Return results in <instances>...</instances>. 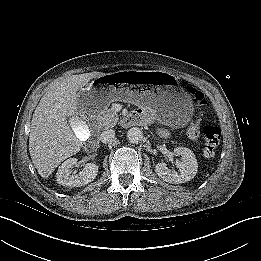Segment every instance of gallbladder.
<instances>
[{"label": "gallbladder", "instance_id": "gallbladder-1", "mask_svg": "<svg viewBox=\"0 0 261 261\" xmlns=\"http://www.w3.org/2000/svg\"><path fill=\"white\" fill-rule=\"evenodd\" d=\"M69 124L79 141L86 142L89 140L91 132L82 118L73 116L70 118Z\"/></svg>", "mask_w": 261, "mask_h": 261}]
</instances>
